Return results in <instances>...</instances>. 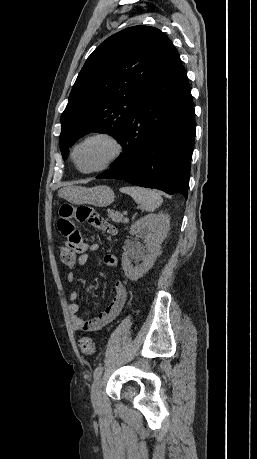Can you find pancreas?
I'll use <instances>...</instances> for the list:
<instances>
[{
  "label": "pancreas",
  "mask_w": 257,
  "mask_h": 459,
  "mask_svg": "<svg viewBox=\"0 0 257 459\" xmlns=\"http://www.w3.org/2000/svg\"><path fill=\"white\" fill-rule=\"evenodd\" d=\"M108 217L115 223L122 222L123 215L120 212L110 210L108 212Z\"/></svg>",
  "instance_id": "1"
}]
</instances>
